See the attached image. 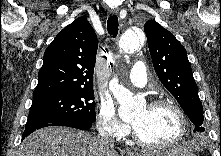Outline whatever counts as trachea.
Here are the masks:
<instances>
[{
    "mask_svg": "<svg viewBox=\"0 0 221 156\" xmlns=\"http://www.w3.org/2000/svg\"><path fill=\"white\" fill-rule=\"evenodd\" d=\"M118 26V17L116 15L109 17L107 21V30L113 38H115L118 34Z\"/></svg>",
    "mask_w": 221,
    "mask_h": 156,
    "instance_id": "trachea-1",
    "label": "trachea"
}]
</instances>
